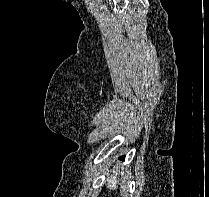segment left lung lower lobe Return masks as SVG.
<instances>
[{
  "label": "left lung lower lobe",
  "mask_w": 209,
  "mask_h": 197,
  "mask_svg": "<svg viewBox=\"0 0 209 197\" xmlns=\"http://www.w3.org/2000/svg\"><path fill=\"white\" fill-rule=\"evenodd\" d=\"M124 158H125V156L121 157V159H123V160H124Z\"/></svg>",
  "instance_id": "obj_1"
}]
</instances>
